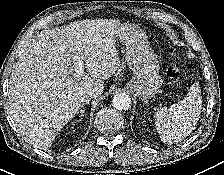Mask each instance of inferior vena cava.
I'll use <instances>...</instances> for the list:
<instances>
[{"label":"inferior vena cava","mask_w":224,"mask_h":175,"mask_svg":"<svg viewBox=\"0 0 224 175\" xmlns=\"http://www.w3.org/2000/svg\"><path fill=\"white\" fill-rule=\"evenodd\" d=\"M97 93L94 90H85L80 94V102H89L92 98L96 97Z\"/></svg>","instance_id":"602c4592"}]
</instances>
